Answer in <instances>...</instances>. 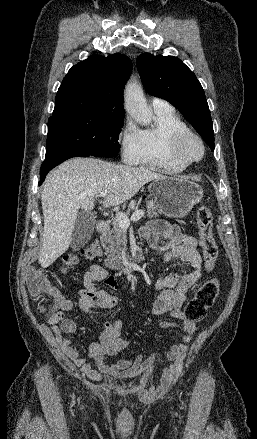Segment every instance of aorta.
<instances>
[{
	"label": "aorta",
	"instance_id": "aorta-1",
	"mask_svg": "<svg viewBox=\"0 0 257 439\" xmlns=\"http://www.w3.org/2000/svg\"><path fill=\"white\" fill-rule=\"evenodd\" d=\"M125 109L129 115L142 125L151 123L153 112L147 105L141 87L136 83H130L125 91Z\"/></svg>",
	"mask_w": 257,
	"mask_h": 439
}]
</instances>
